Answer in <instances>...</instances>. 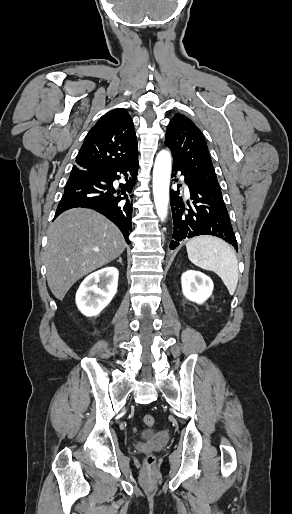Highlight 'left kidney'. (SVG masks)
I'll return each instance as SVG.
<instances>
[{"mask_svg": "<svg viewBox=\"0 0 292 514\" xmlns=\"http://www.w3.org/2000/svg\"><path fill=\"white\" fill-rule=\"evenodd\" d=\"M182 292L190 302L196 304H203L210 298L214 284L211 278L202 274V272H195V270H188L184 272L181 278Z\"/></svg>", "mask_w": 292, "mask_h": 514, "instance_id": "5707ae66", "label": "left kidney"}]
</instances>
